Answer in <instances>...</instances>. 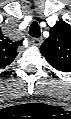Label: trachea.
Listing matches in <instances>:
<instances>
[{
    "label": "trachea",
    "instance_id": "1",
    "mask_svg": "<svg viewBox=\"0 0 71 119\" xmlns=\"http://www.w3.org/2000/svg\"><path fill=\"white\" fill-rule=\"evenodd\" d=\"M29 34L30 36L32 37H35V38H39L40 37V27L38 25V23L36 21H34L32 24H31V27L29 29Z\"/></svg>",
    "mask_w": 71,
    "mask_h": 119
}]
</instances>
